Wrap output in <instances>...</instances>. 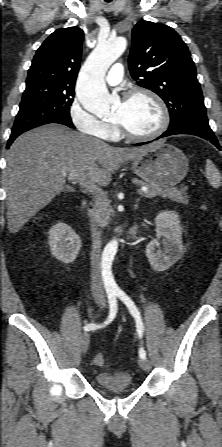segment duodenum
Instances as JSON below:
<instances>
[{"label": "duodenum", "instance_id": "1", "mask_svg": "<svg viewBox=\"0 0 222 447\" xmlns=\"http://www.w3.org/2000/svg\"><path fill=\"white\" fill-rule=\"evenodd\" d=\"M84 208H85V203H82V205L80 206L79 211L82 212L84 210ZM133 234H134V232H133Z\"/></svg>", "mask_w": 222, "mask_h": 447}]
</instances>
